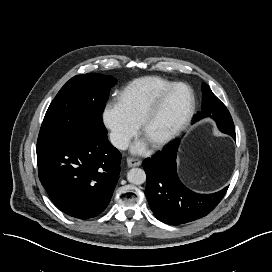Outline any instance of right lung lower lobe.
<instances>
[{"instance_id": "1", "label": "right lung lower lobe", "mask_w": 272, "mask_h": 272, "mask_svg": "<svg viewBox=\"0 0 272 272\" xmlns=\"http://www.w3.org/2000/svg\"><path fill=\"white\" fill-rule=\"evenodd\" d=\"M122 155L107 135L39 138V179L52 202L69 216L88 219L109 204Z\"/></svg>"}]
</instances>
